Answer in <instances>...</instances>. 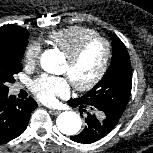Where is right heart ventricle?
Segmentation results:
<instances>
[{"label": "right heart ventricle", "instance_id": "1", "mask_svg": "<svg viewBox=\"0 0 153 153\" xmlns=\"http://www.w3.org/2000/svg\"><path fill=\"white\" fill-rule=\"evenodd\" d=\"M99 35L92 28L84 26H70L52 31L48 35L51 44L59 48L65 55L73 51L85 39Z\"/></svg>", "mask_w": 153, "mask_h": 153}]
</instances>
